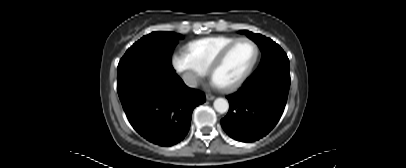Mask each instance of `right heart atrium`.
<instances>
[{
    "instance_id": "right-heart-atrium-1",
    "label": "right heart atrium",
    "mask_w": 406,
    "mask_h": 168,
    "mask_svg": "<svg viewBox=\"0 0 406 168\" xmlns=\"http://www.w3.org/2000/svg\"><path fill=\"white\" fill-rule=\"evenodd\" d=\"M172 65L182 76L189 87H196L206 71L195 64L185 51H178L172 55Z\"/></svg>"
}]
</instances>
